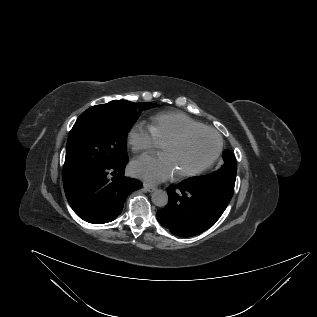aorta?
Segmentation results:
<instances>
[{
  "label": "aorta",
  "instance_id": "762f6f07",
  "mask_svg": "<svg viewBox=\"0 0 317 317\" xmlns=\"http://www.w3.org/2000/svg\"><path fill=\"white\" fill-rule=\"evenodd\" d=\"M151 200L154 205L165 207L169 201V197L166 191L158 189L152 193Z\"/></svg>",
  "mask_w": 317,
  "mask_h": 317
}]
</instances>
